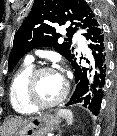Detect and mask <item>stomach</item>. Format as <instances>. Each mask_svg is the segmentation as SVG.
Returning <instances> with one entry per match:
<instances>
[{
  "mask_svg": "<svg viewBox=\"0 0 117 136\" xmlns=\"http://www.w3.org/2000/svg\"><path fill=\"white\" fill-rule=\"evenodd\" d=\"M61 122L59 115L40 114L21 127L12 136H45L51 133Z\"/></svg>",
  "mask_w": 117,
  "mask_h": 136,
  "instance_id": "0dacf381",
  "label": "stomach"
}]
</instances>
